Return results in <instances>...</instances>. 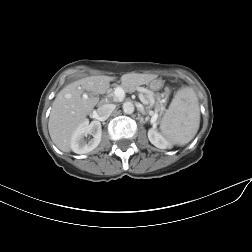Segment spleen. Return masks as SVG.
<instances>
[{"label": "spleen", "mask_w": 252, "mask_h": 252, "mask_svg": "<svg viewBox=\"0 0 252 252\" xmlns=\"http://www.w3.org/2000/svg\"><path fill=\"white\" fill-rule=\"evenodd\" d=\"M200 110L196 93L190 87L179 89L160 122V130L173 144L185 145L196 135Z\"/></svg>", "instance_id": "obj_1"}]
</instances>
